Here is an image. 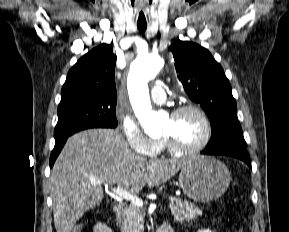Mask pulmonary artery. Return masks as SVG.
<instances>
[{"instance_id": "e3ab8cb5", "label": "pulmonary artery", "mask_w": 289, "mask_h": 232, "mask_svg": "<svg viewBox=\"0 0 289 232\" xmlns=\"http://www.w3.org/2000/svg\"><path fill=\"white\" fill-rule=\"evenodd\" d=\"M151 99L157 104L164 103L166 100V93L164 89L159 85L154 86L151 90Z\"/></svg>"}]
</instances>
